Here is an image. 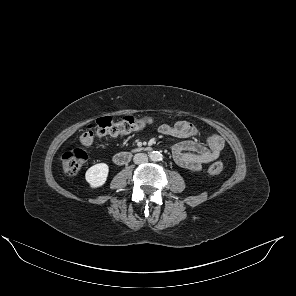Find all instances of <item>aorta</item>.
<instances>
[{
	"label": "aorta",
	"instance_id": "1",
	"mask_svg": "<svg viewBox=\"0 0 296 296\" xmlns=\"http://www.w3.org/2000/svg\"><path fill=\"white\" fill-rule=\"evenodd\" d=\"M150 159L152 161H160V160H162V154L158 151H153L150 154Z\"/></svg>",
	"mask_w": 296,
	"mask_h": 296
}]
</instances>
